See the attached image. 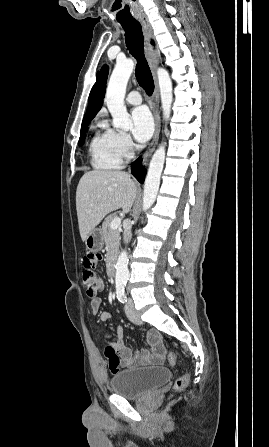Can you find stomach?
<instances>
[{"label":"stomach","mask_w":269,"mask_h":447,"mask_svg":"<svg viewBox=\"0 0 269 447\" xmlns=\"http://www.w3.org/2000/svg\"><path fill=\"white\" fill-rule=\"evenodd\" d=\"M85 245L89 251H99L104 245V233L99 227H94L88 235H86Z\"/></svg>","instance_id":"0dacf381"}]
</instances>
